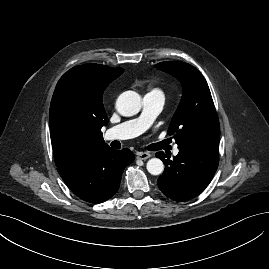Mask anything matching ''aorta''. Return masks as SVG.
<instances>
[{"instance_id": "1", "label": "aorta", "mask_w": 269, "mask_h": 269, "mask_svg": "<svg viewBox=\"0 0 269 269\" xmlns=\"http://www.w3.org/2000/svg\"><path fill=\"white\" fill-rule=\"evenodd\" d=\"M116 108L122 116L136 115L141 109V97L137 92L125 91L118 97ZM146 167L152 175H160L164 170V164L158 158L150 159Z\"/></svg>"}]
</instances>
